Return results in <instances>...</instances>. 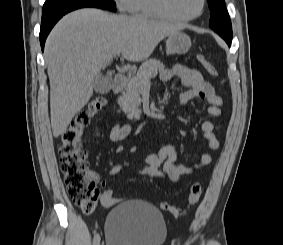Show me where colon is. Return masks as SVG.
<instances>
[{
    "mask_svg": "<svg viewBox=\"0 0 283 245\" xmlns=\"http://www.w3.org/2000/svg\"><path fill=\"white\" fill-rule=\"evenodd\" d=\"M198 60L209 75L213 77L218 76L215 66L203 55H198ZM105 105L106 100L98 97L89 104L86 110L80 112L62 134L58 149L60 168L64 175L68 195L73 203L86 213L92 212L98 202L107 208L113 207L118 203V199L114 196L111 188H106L103 192H100L87 170L86 153L81 146V139L86 127ZM201 196L202 187L200 183H193L188 194V205L197 204ZM160 206L175 217L183 214L182 209L167 202H162Z\"/></svg>",
    "mask_w": 283,
    "mask_h": 245,
    "instance_id": "obj_1",
    "label": "colon"
}]
</instances>
